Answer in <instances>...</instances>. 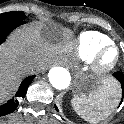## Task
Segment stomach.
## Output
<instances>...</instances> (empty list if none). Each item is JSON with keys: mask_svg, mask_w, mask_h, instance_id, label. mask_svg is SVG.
I'll return each instance as SVG.
<instances>
[{"mask_svg": "<svg viewBox=\"0 0 124 124\" xmlns=\"http://www.w3.org/2000/svg\"><path fill=\"white\" fill-rule=\"evenodd\" d=\"M108 86L110 89H115L112 81L110 80H97L89 75H81L76 81L73 94L75 97H91L98 91L105 89ZM93 116H90L89 120H92ZM88 120V119H85Z\"/></svg>", "mask_w": 124, "mask_h": 124, "instance_id": "1", "label": "stomach"}]
</instances>
